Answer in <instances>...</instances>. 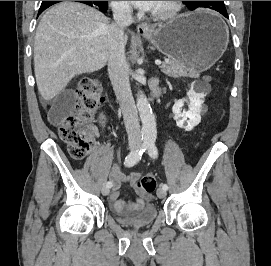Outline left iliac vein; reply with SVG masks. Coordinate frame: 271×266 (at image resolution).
I'll list each match as a JSON object with an SVG mask.
<instances>
[{
	"mask_svg": "<svg viewBox=\"0 0 271 266\" xmlns=\"http://www.w3.org/2000/svg\"><path fill=\"white\" fill-rule=\"evenodd\" d=\"M156 193L157 196L161 199L166 196V190H164L163 188H158Z\"/></svg>",
	"mask_w": 271,
	"mask_h": 266,
	"instance_id": "left-iliac-vein-1",
	"label": "left iliac vein"
}]
</instances>
